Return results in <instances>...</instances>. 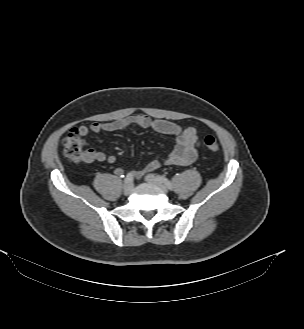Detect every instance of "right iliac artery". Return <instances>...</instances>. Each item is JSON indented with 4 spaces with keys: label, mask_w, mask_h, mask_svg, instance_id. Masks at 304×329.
Masks as SVG:
<instances>
[{
    "label": "right iliac artery",
    "mask_w": 304,
    "mask_h": 329,
    "mask_svg": "<svg viewBox=\"0 0 304 329\" xmlns=\"http://www.w3.org/2000/svg\"><path fill=\"white\" fill-rule=\"evenodd\" d=\"M133 181V174L132 173H128L126 178L124 179V183L127 184V183H130Z\"/></svg>",
    "instance_id": "right-iliac-artery-1"
}]
</instances>
